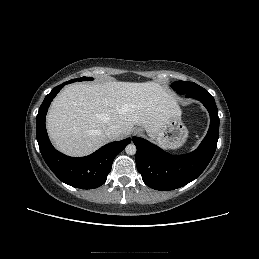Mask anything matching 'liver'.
I'll return each instance as SVG.
<instances>
[{"label": "liver", "instance_id": "liver-1", "mask_svg": "<svg viewBox=\"0 0 259 259\" xmlns=\"http://www.w3.org/2000/svg\"><path fill=\"white\" fill-rule=\"evenodd\" d=\"M178 112L176 97L156 82L77 83L53 100L47 130L58 150L84 156L111 141L105 135L111 125L121 127L118 139L128 137L134 125L153 137Z\"/></svg>", "mask_w": 259, "mask_h": 259}]
</instances>
